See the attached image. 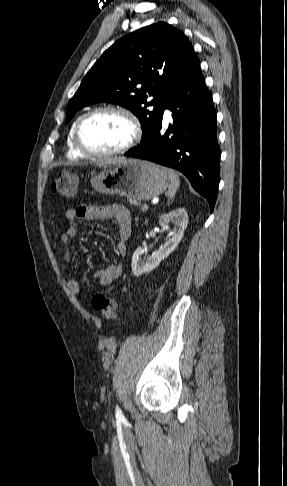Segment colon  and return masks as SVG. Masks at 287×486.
Here are the masks:
<instances>
[{"mask_svg": "<svg viewBox=\"0 0 287 486\" xmlns=\"http://www.w3.org/2000/svg\"><path fill=\"white\" fill-rule=\"evenodd\" d=\"M78 187V179L75 174L69 171L60 172L51 183V190L54 193L60 194L64 197L73 196ZM93 308L106 321H112L116 317L117 304L109 296L98 293L92 298Z\"/></svg>", "mask_w": 287, "mask_h": 486, "instance_id": "obj_1", "label": "colon"}]
</instances>
